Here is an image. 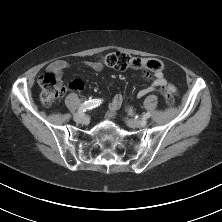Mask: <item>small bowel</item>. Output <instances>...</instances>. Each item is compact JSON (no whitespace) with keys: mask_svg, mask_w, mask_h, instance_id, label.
<instances>
[{"mask_svg":"<svg viewBox=\"0 0 222 222\" xmlns=\"http://www.w3.org/2000/svg\"><path fill=\"white\" fill-rule=\"evenodd\" d=\"M86 67L100 72L103 69V65L97 61H86L83 63ZM71 68V64L65 60H56L49 64L47 70L49 72H54L58 75L62 74L65 70ZM139 76L144 78L146 81L152 83L150 86L141 89L137 93V97L141 98L144 97L152 92H155L158 88L166 87L172 94L177 93V89L174 85L168 83L164 74L162 72H148L146 69H141L139 71ZM123 102V96L118 93L116 94L109 103V112L107 117L112 119L115 117V112L119 109Z\"/></svg>","mask_w":222,"mask_h":222,"instance_id":"c3829d8e","label":"small bowel"}]
</instances>
